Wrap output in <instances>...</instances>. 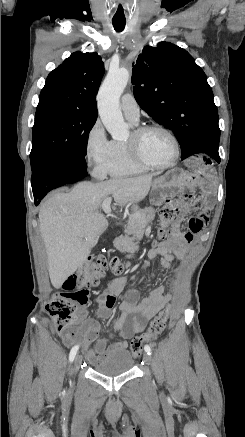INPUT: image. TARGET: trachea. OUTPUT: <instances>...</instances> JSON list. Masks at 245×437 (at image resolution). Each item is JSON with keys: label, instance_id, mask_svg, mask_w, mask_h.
Listing matches in <instances>:
<instances>
[{"label": "trachea", "instance_id": "1", "mask_svg": "<svg viewBox=\"0 0 245 437\" xmlns=\"http://www.w3.org/2000/svg\"><path fill=\"white\" fill-rule=\"evenodd\" d=\"M112 23H113L114 29L117 32L123 31L125 28V24H126V22H121V21H112Z\"/></svg>", "mask_w": 245, "mask_h": 437}]
</instances>
